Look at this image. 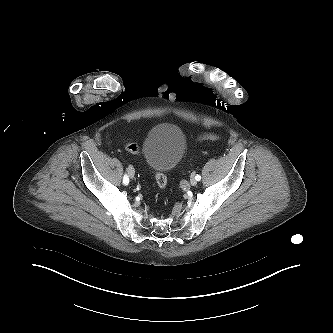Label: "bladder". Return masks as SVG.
I'll return each instance as SVG.
<instances>
[{
    "label": "bladder",
    "mask_w": 333,
    "mask_h": 333,
    "mask_svg": "<svg viewBox=\"0 0 333 333\" xmlns=\"http://www.w3.org/2000/svg\"><path fill=\"white\" fill-rule=\"evenodd\" d=\"M186 146V137L177 125L161 123L147 132L142 155L151 170L166 173L174 170L181 162Z\"/></svg>",
    "instance_id": "1"
}]
</instances>
